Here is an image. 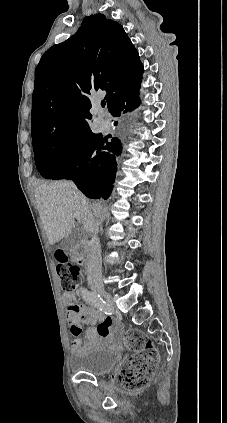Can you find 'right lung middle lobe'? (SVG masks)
Returning <instances> with one entry per match:
<instances>
[{
	"instance_id": "obj_1",
	"label": "right lung middle lobe",
	"mask_w": 227,
	"mask_h": 423,
	"mask_svg": "<svg viewBox=\"0 0 227 423\" xmlns=\"http://www.w3.org/2000/svg\"><path fill=\"white\" fill-rule=\"evenodd\" d=\"M95 135H55L33 141L35 163L40 174L54 180L72 175Z\"/></svg>"
}]
</instances>
